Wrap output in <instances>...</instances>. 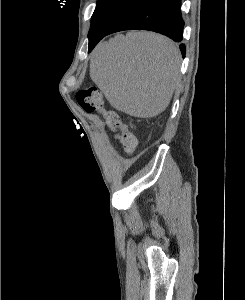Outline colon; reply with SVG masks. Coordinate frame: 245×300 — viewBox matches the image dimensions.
I'll return each instance as SVG.
<instances>
[{
    "label": "colon",
    "instance_id": "obj_1",
    "mask_svg": "<svg viewBox=\"0 0 245 300\" xmlns=\"http://www.w3.org/2000/svg\"><path fill=\"white\" fill-rule=\"evenodd\" d=\"M77 101L84 111L88 113L103 114L107 124L117 128L122 137L123 148L129 155L133 154L137 147V138L129 128L123 124L114 111L105 112L103 108V99L99 90L95 87L82 89L77 93Z\"/></svg>",
    "mask_w": 245,
    "mask_h": 300
}]
</instances>
